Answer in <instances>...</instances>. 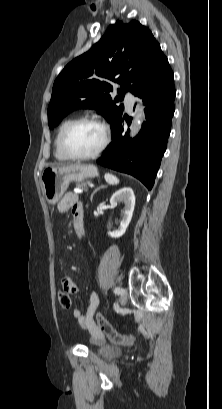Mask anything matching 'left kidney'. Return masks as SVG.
<instances>
[{
	"mask_svg": "<svg viewBox=\"0 0 222 409\" xmlns=\"http://www.w3.org/2000/svg\"><path fill=\"white\" fill-rule=\"evenodd\" d=\"M120 202H124L125 209L123 212V216L120 222L119 229L113 232L111 231L108 232V235L112 238L121 237L126 232V229L128 228L129 223L132 219L133 211L135 207V196L131 188L129 187L121 188L120 190H118L112 195L110 199V204L112 207H116L117 204Z\"/></svg>",
	"mask_w": 222,
	"mask_h": 409,
	"instance_id": "left-kidney-1",
	"label": "left kidney"
}]
</instances>
